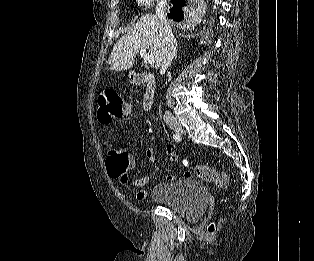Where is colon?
<instances>
[{
  "instance_id": "obj_1",
  "label": "colon",
  "mask_w": 314,
  "mask_h": 261,
  "mask_svg": "<svg viewBox=\"0 0 314 261\" xmlns=\"http://www.w3.org/2000/svg\"><path fill=\"white\" fill-rule=\"evenodd\" d=\"M128 114V107L124 99L114 89H105L98 96V119L101 124L107 125L124 119ZM107 171L113 178L125 181L127 170L130 167L129 154L124 151L112 152L106 163ZM196 176L206 182L214 183L219 187H225L228 176L225 172L213 169L206 165H193L190 170L184 172L185 178ZM208 232L215 231V223H210Z\"/></svg>"
}]
</instances>
